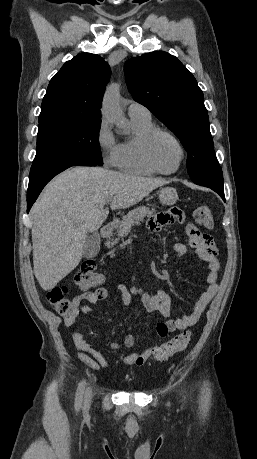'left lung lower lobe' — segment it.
Wrapping results in <instances>:
<instances>
[{"label": "left lung lower lobe", "instance_id": "left-lung-lower-lobe-1", "mask_svg": "<svg viewBox=\"0 0 257 459\" xmlns=\"http://www.w3.org/2000/svg\"><path fill=\"white\" fill-rule=\"evenodd\" d=\"M203 186V185H202ZM207 187V186H206ZM211 188L212 190H214L215 192H217L221 197L222 199L225 201V197H224V188L221 187V188H215V187H209Z\"/></svg>", "mask_w": 257, "mask_h": 459}]
</instances>
